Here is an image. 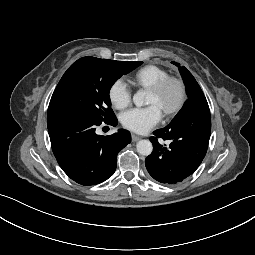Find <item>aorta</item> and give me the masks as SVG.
I'll return each mask as SVG.
<instances>
[{"label": "aorta", "mask_w": 255, "mask_h": 255, "mask_svg": "<svg viewBox=\"0 0 255 255\" xmlns=\"http://www.w3.org/2000/svg\"><path fill=\"white\" fill-rule=\"evenodd\" d=\"M133 102L136 106L140 107L147 104L146 92L141 90L134 94ZM137 151L143 156H148L152 153L153 146L149 140H140L136 145Z\"/></svg>", "instance_id": "762f6f07"}]
</instances>
